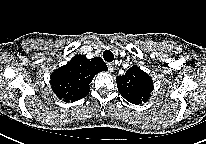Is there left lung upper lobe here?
Listing matches in <instances>:
<instances>
[{
	"label": "left lung upper lobe",
	"mask_w": 206,
	"mask_h": 144,
	"mask_svg": "<svg viewBox=\"0 0 206 144\" xmlns=\"http://www.w3.org/2000/svg\"><path fill=\"white\" fill-rule=\"evenodd\" d=\"M116 82L121 96L136 105L147 102L153 91L151 77L136 65L116 77Z\"/></svg>",
	"instance_id": "5c2ea615"
}]
</instances>
